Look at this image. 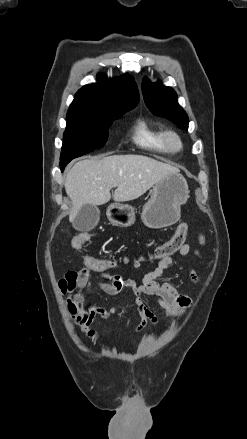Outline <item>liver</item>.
<instances>
[{
    "label": "liver",
    "mask_w": 247,
    "mask_h": 439,
    "mask_svg": "<svg viewBox=\"0 0 247 439\" xmlns=\"http://www.w3.org/2000/svg\"><path fill=\"white\" fill-rule=\"evenodd\" d=\"M179 169L143 155H112L77 162L67 173L65 190L72 201L69 220L73 222L86 204L103 205L111 199H137L166 176Z\"/></svg>",
    "instance_id": "1"
}]
</instances>
